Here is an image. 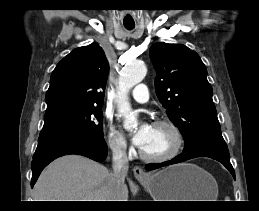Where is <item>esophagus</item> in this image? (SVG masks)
I'll use <instances>...</instances> for the list:
<instances>
[{"instance_id": "1", "label": "esophagus", "mask_w": 259, "mask_h": 211, "mask_svg": "<svg viewBox=\"0 0 259 211\" xmlns=\"http://www.w3.org/2000/svg\"><path fill=\"white\" fill-rule=\"evenodd\" d=\"M133 173L137 180H145L148 178L146 172L139 166L134 167Z\"/></svg>"}]
</instances>
